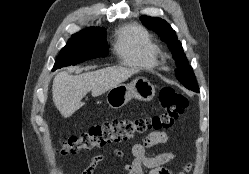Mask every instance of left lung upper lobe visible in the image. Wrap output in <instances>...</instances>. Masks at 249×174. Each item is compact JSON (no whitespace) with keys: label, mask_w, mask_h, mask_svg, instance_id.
<instances>
[{"label":"left lung upper lobe","mask_w":249,"mask_h":174,"mask_svg":"<svg viewBox=\"0 0 249 174\" xmlns=\"http://www.w3.org/2000/svg\"><path fill=\"white\" fill-rule=\"evenodd\" d=\"M140 19L145 27L156 32L161 37V40L168 45L176 61L177 69L175 73L179 82L186 88L199 92L193 69L188 64L181 43L178 41L176 33L171 26L161 18L141 16Z\"/></svg>","instance_id":"left-lung-upper-lobe-1"}]
</instances>
